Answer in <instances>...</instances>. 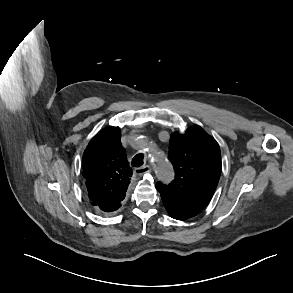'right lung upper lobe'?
<instances>
[{
	"instance_id": "1",
	"label": "right lung upper lobe",
	"mask_w": 293,
	"mask_h": 293,
	"mask_svg": "<svg viewBox=\"0 0 293 293\" xmlns=\"http://www.w3.org/2000/svg\"><path fill=\"white\" fill-rule=\"evenodd\" d=\"M120 140L118 127H106L90 141L83 154L88 197L104 214L121 207L132 176Z\"/></svg>"
}]
</instances>
